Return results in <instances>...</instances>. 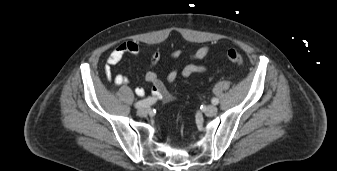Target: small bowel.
<instances>
[{
    "label": "small bowel",
    "instance_id": "1",
    "mask_svg": "<svg viewBox=\"0 0 337 171\" xmlns=\"http://www.w3.org/2000/svg\"><path fill=\"white\" fill-rule=\"evenodd\" d=\"M211 49L209 46L204 45L198 48L194 53L190 55L191 60H201L205 58ZM141 53L140 46L134 41H125L116 46L111 53L109 54L106 64L104 66V71L106 78L113 82L118 86L126 85L129 80L122 73L114 74L112 72V66L117 65L125 54L139 55ZM183 51L182 49H175L171 52L170 57L172 59H178L181 57ZM161 53L158 50H155L150 55L149 63L150 67L145 73V79L152 86L151 93L155 99L162 100L165 102H169L173 99L172 93L166 88L164 83L160 80L158 73L153 69L158 62L160 61ZM206 71V66L204 65H196V64H188L184 66L181 71L177 69L171 70L166 77V80L169 84H173L179 74H181L185 78H189L194 74L203 73ZM135 94L137 96H144L145 90L142 87H137L135 89Z\"/></svg>",
    "mask_w": 337,
    "mask_h": 171
}]
</instances>
